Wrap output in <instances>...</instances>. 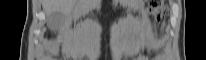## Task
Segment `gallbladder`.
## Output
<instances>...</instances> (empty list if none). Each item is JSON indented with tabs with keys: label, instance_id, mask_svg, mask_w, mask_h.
<instances>
[{
	"label": "gallbladder",
	"instance_id": "1",
	"mask_svg": "<svg viewBox=\"0 0 206 60\" xmlns=\"http://www.w3.org/2000/svg\"><path fill=\"white\" fill-rule=\"evenodd\" d=\"M64 18V14L61 12H55L51 15H49V22L53 25H58L62 23Z\"/></svg>",
	"mask_w": 206,
	"mask_h": 60
}]
</instances>
